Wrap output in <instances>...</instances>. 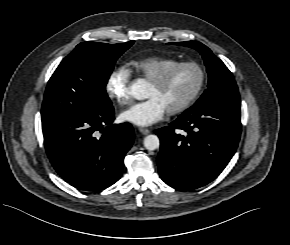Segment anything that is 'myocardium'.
I'll return each instance as SVG.
<instances>
[{"label": "myocardium", "instance_id": "myocardium-1", "mask_svg": "<svg viewBox=\"0 0 290 245\" xmlns=\"http://www.w3.org/2000/svg\"><path fill=\"white\" fill-rule=\"evenodd\" d=\"M182 68L196 69L200 74V80L196 89L184 102H182L181 104H179L178 106L172 109L167 110V113H169L170 115H176V114H180L186 111L198 99L206 83V72L204 68L196 62H178L166 68L161 73H159L156 77L150 80V83H152L155 86H159V87L163 86L175 71Z\"/></svg>", "mask_w": 290, "mask_h": 245}]
</instances>
